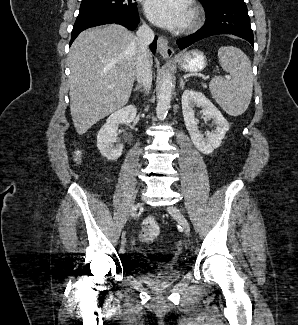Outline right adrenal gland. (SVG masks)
Instances as JSON below:
<instances>
[{
    "mask_svg": "<svg viewBox=\"0 0 298 325\" xmlns=\"http://www.w3.org/2000/svg\"><path fill=\"white\" fill-rule=\"evenodd\" d=\"M133 90H140V92H143V90L141 88V84H137V86H135V88H133Z\"/></svg>",
    "mask_w": 298,
    "mask_h": 325,
    "instance_id": "right-adrenal-gland-1",
    "label": "right adrenal gland"
}]
</instances>
